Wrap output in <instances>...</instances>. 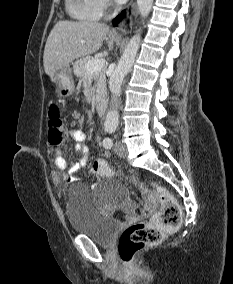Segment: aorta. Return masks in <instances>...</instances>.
Listing matches in <instances>:
<instances>
[{
	"label": "aorta",
	"mask_w": 233,
	"mask_h": 284,
	"mask_svg": "<svg viewBox=\"0 0 233 284\" xmlns=\"http://www.w3.org/2000/svg\"><path fill=\"white\" fill-rule=\"evenodd\" d=\"M153 4V0H137V5L139 8V12L142 17H147L151 11ZM140 35L141 32L138 31L136 35H134L128 45L126 46L122 57L120 58L117 67L114 69L112 75L109 79V88L111 93L115 98H118L121 94V86L124 80V77L131 69L137 52L139 50L140 44ZM119 124V112L117 109L110 110L105 119L104 126L107 130H114L117 128Z\"/></svg>",
	"instance_id": "762f6f07"
}]
</instances>
